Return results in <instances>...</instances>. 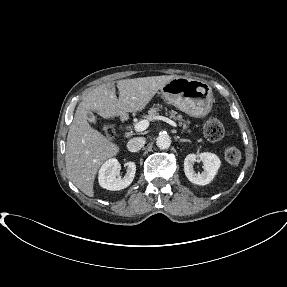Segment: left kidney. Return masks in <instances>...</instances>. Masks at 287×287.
<instances>
[{
  "label": "left kidney",
  "mask_w": 287,
  "mask_h": 287,
  "mask_svg": "<svg viewBox=\"0 0 287 287\" xmlns=\"http://www.w3.org/2000/svg\"><path fill=\"white\" fill-rule=\"evenodd\" d=\"M203 163V172L195 173L193 164L197 159ZM221 161L219 157L213 153L204 152L200 154H188L184 160V172L188 180L197 185L209 184L215 177Z\"/></svg>",
  "instance_id": "left-kidney-1"
}]
</instances>
